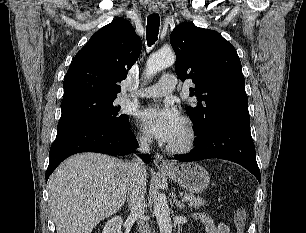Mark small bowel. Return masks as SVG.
<instances>
[{
    "instance_id": "obj_1",
    "label": "small bowel",
    "mask_w": 306,
    "mask_h": 233,
    "mask_svg": "<svg viewBox=\"0 0 306 233\" xmlns=\"http://www.w3.org/2000/svg\"><path fill=\"white\" fill-rule=\"evenodd\" d=\"M195 219L203 225L205 233H230V229L225 223H215L206 214H198Z\"/></svg>"
}]
</instances>
